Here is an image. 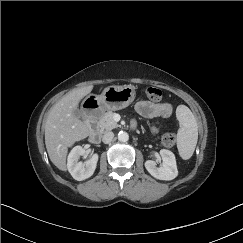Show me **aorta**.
Listing matches in <instances>:
<instances>
[{
  "mask_svg": "<svg viewBox=\"0 0 243 243\" xmlns=\"http://www.w3.org/2000/svg\"><path fill=\"white\" fill-rule=\"evenodd\" d=\"M118 140L120 142H127L129 140V135L127 132L120 131L118 133Z\"/></svg>",
  "mask_w": 243,
  "mask_h": 243,
  "instance_id": "obj_1",
  "label": "aorta"
}]
</instances>
